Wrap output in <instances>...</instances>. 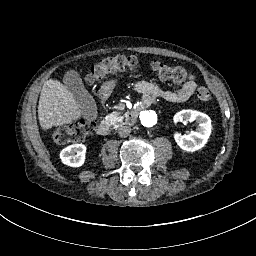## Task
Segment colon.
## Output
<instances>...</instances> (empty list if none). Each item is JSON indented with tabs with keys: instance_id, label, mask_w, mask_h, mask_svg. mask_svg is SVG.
Wrapping results in <instances>:
<instances>
[{
	"instance_id": "colon-1",
	"label": "colon",
	"mask_w": 256,
	"mask_h": 256,
	"mask_svg": "<svg viewBox=\"0 0 256 256\" xmlns=\"http://www.w3.org/2000/svg\"><path fill=\"white\" fill-rule=\"evenodd\" d=\"M138 66L135 56L114 55L102 58L92 68L88 80L97 83L119 71L134 70ZM153 70L162 78L177 82L193 80L191 72L182 67H171L161 62L153 63ZM196 96L203 102H210L213 95L210 91L199 87ZM93 130V123L88 120L76 121L52 131L51 137L57 143L71 144L83 141Z\"/></svg>"
}]
</instances>
